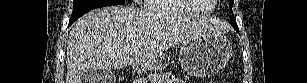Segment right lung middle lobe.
Here are the masks:
<instances>
[{"label": "right lung middle lobe", "instance_id": "1", "mask_svg": "<svg viewBox=\"0 0 307 83\" xmlns=\"http://www.w3.org/2000/svg\"><path fill=\"white\" fill-rule=\"evenodd\" d=\"M118 4H125V0H73L74 8L69 25L92 9Z\"/></svg>", "mask_w": 307, "mask_h": 83}]
</instances>
